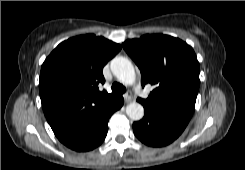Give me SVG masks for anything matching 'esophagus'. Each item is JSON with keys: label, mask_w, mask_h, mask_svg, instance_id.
<instances>
[{"label": "esophagus", "mask_w": 245, "mask_h": 170, "mask_svg": "<svg viewBox=\"0 0 245 170\" xmlns=\"http://www.w3.org/2000/svg\"><path fill=\"white\" fill-rule=\"evenodd\" d=\"M125 102H130L133 99V96L130 93H126L123 95Z\"/></svg>", "instance_id": "esophagus-1"}]
</instances>
